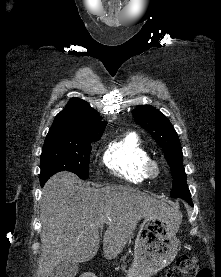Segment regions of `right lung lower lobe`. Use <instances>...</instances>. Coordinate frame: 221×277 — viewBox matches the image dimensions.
Wrapping results in <instances>:
<instances>
[{"label":"right lung lower lobe","mask_w":221,"mask_h":277,"mask_svg":"<svg viewBox=\"0 0 221 277\" xmlns=\"http://www.w3.org/2000/svg\"><path fill=\"white\" fill-rule=\"evenodd\" d=\"M44 185V183H41V186H43Z\"/></svg>","instance_id":"right-lung-lower-lobe-1"}]
</instances>
